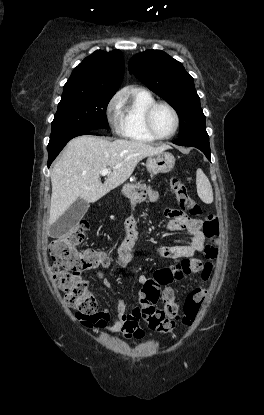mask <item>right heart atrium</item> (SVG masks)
Listing matches in <instances>:
<instances>
[{
    "label": "right heart atrium",
    "mask_w": 264,
    "mask_h": 415,
    "mask_svg": "<svg viewBox=\"0 0 264 415\" xmlns=\"http://www.w3.org/2000/svg\"><path fill=\"white\" fill-rule=\"evenodd\" d=\"M106 114L112 127L118 128L120 119V100L114 96L108 103Z\"/></svg>",
    "instance_id": "d8ad5b80"
}]
</instances>
